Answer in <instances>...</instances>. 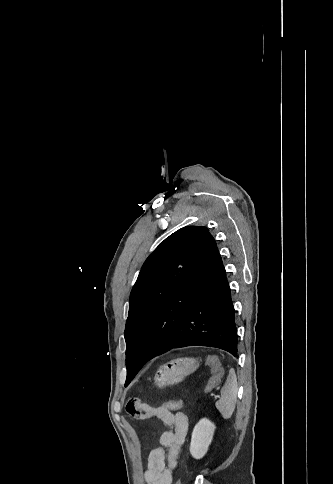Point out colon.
<instances>
[{
  "instance_id": "obj_1",
  "label": "colon",
  "mask_w": 333,
  "mask_h": 484,
  "mask_svg": "<svg viewBox=\"0 0 333 484\" xmlns=\"http://www.w3.org/2000/svg\"><path fill=\"white\" fill-rule=\"evenodd\" d=\"M207 364L211 369V377L205 387V392H210L211 390L216 388L221 382L223 372L219 362L216 359L209 357L207 359ZM182 405V401L177 399L165 402L158 407L164 411H179L182 408ZM177 484L181 483L177 482Z\"/></svg>"
}]
</instances>
